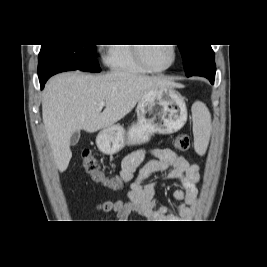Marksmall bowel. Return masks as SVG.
<instances>
[{"label": "small bowel", "mask_w": 267, "mask_h": 267, "mask_svg": "<svg viewBox=\"0 0 267 267\" xmlns=\"http://www.w3.org/2000/svg\"><path fill=\"white\" fill-rule=\"evenodd\" d=\"M147 155L155 159L143 165L137 176H134ZM157 173L161 174L162 180H177L180 183V188L173 192V199L177 201L175 211L157 203L156 181L145 183ZM118 177H122L123 186L127 187V200L102 201L97 204V210L115 213L120 222H126L132 213H138L156 222H177L193 218L197 208L196 185L200 179V168L190 164L172 149H139L128 154L122 162Z\"/></svg>", "instance_id": "1"}]
</instances>
